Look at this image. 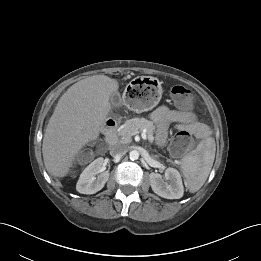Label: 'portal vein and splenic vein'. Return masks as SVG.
Listing matches in <instances>:
<instances>
[{"instance_id": "1", "label": "portal vein and splenic vein", "mask_w": 261, "mask_h": 261, "mask_svg": "<svg viewBox=\"0 0 261 261\" xmlns=\"http://www.w3.org/2000/svg\"><path fill=\"white\" fill-rule=\"evenodd\" d=\"M135 134H136V133H135ZM135 134H134V135H135ZM141 136H142L143 139H147V138H148V140H149V139H150V140H153V139H154L152 136H151V137H148V136L146 135V131H145V130L142 132V135H141Z\"/></svg>"}]
</instances>
